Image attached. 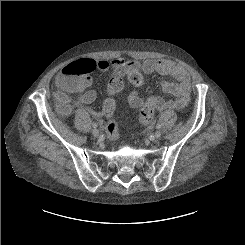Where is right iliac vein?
Instances as JSON below:
<instances>
[{
	"label": "right iliac vein",
	"mask_w": 245,
	"mask_h": 245,
	"mask_svg": "<svg viewBox=\"0 0 245 245\" xmlns=\"http://www.w3.org/2000/svg\"><path fill=\"white\" fill-rule=\"evenodd\" d=\"M92 134H93V136L98 137L99 136V131L97 129H93L92 130Z\"/></svg>",
	"instance_id": "1"
}]
</instances>
